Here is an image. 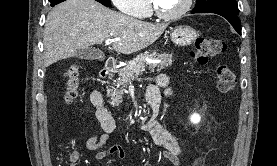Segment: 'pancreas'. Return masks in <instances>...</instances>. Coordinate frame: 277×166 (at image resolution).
<instances>
[{
  "label": "pancreas",
  "mask_w": 277,
  "mask_h": 166,
  "mask_svg": "<svg viewBox=\"0 0 277 166\" xmlns=\"http://www.w3.org/2000/svg\"><path fill=\"white\" fill-rule=\"evenodd\" d=\"M147 58H155L161 60L158 64L149 65L151 71H154L155 68L157 69V71H161L170 66L173 62L172 53H159L156 50L145 52L144 54L138 55L131 62H129L128 65L118 71V75L120 78L115 81L114 85H116L117 87L126 88L131 81L142 74L145 69ZM122 98L123 91L121 89H117L111 94L112 104L114 105H119L120 103H122Z\"/></svg>",
  "instance_id": "cf45deb5"
}]
</instances>
